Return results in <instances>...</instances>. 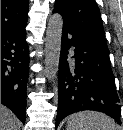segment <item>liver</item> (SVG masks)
<instances>
[{
	"mask_svg": "<svg viewBox=\"0 0 123 130\" xmlns=\"http://www.w3.org/2000/svg\"><path fill=\"white\" fill-rule=\"evenodd\" d=\"M20 122L10 109L1 104V130H19Z\"/></svg>",
	"mask_w": 123,
	"mask_h": 130,
	"instance_id": "obj_1",
	"label": "liver"
}]
</instances>
